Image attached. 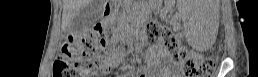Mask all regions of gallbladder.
Masks as SVG:
<instances>
[{
	"mask_svg": "<svg viewBox=\"0 0 258 77\" xmlns=\"http://www.w3.org/2000/svg\"><path fill=\"white\" fill-rule=\"evenodd\" d=\"M102 12V3L99 0H91L74 17L70 30L73 33L82 31L99 19Z\"/></svg>",
	"mask_w": 258,
	"mask_h": 77,
	"instance_id": "gallbladder-1",
	"label": "gallbladder"
}]
</instances>
